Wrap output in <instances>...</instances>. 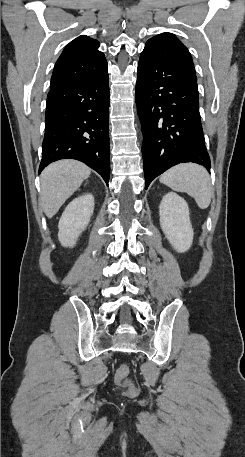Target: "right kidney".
<instances>
[{
	"label": "right kidney",
	"mask_w": 245,
	"mask_h": 457,
	"mask_svg": "<svg viewBox=\"0 0 245 457\" xmlns=\"http://www.w3.org/2000/svg\"><path fill=\"white\" fill-rule=\"evenodd\" d=\"M94 196L91 192L80 194L66 206L58 224V241L62 247H74L76 241L85 231L93 214Z\"/></svg>",
	"instance_id": "right-kidney-1"
}]
</instances>
